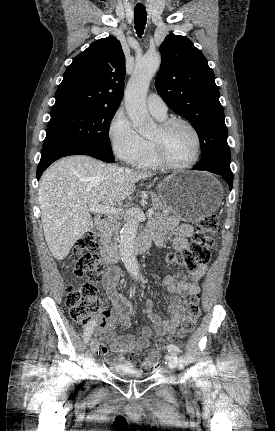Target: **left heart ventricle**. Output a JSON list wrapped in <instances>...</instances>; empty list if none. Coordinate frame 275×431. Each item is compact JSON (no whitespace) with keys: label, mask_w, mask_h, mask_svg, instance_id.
Wrapping results in <instances>:
<instances>
[{"label":"left heart ventricle","mask_w":275,"mask_h":431,"mask_svg":"<svg viewBox=\"0 0 275 431\" xmlns=\"http://www.w3.org/2000/svg\"><path fill=\"white\" fill-rule=\"evenodd\" d=\"M159 138L157 129L152 139ZM164 149L170 161L176 164H185L195 155L196 142L194 135L183 124L174 125L164 138Z\"/></svg>","instance_id":"1"}]
</instances>
